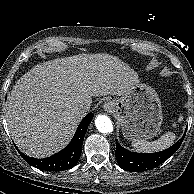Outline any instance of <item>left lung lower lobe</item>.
<instances>
[{
  "label": "left lung lower lobe",
  "mask_w": 194,
  "mask_h": 194,
  "mask_svg": "<svg viewBox=\"0 0 194 194\" xmlns=\"http://www.w3.org/2000/svg\"><path fill=\"white\" fill-rule=\"evenodd\" d=\"M185 134L186 131L183 137L168 149L155 153L131 152L124 149L120 144L116 143L115 156L117 162L122 169L130 172H143L153 169L167 160L179 149Z\"/></svg>",
  "instance_id": "left-lung-lower-lobe-1"
}]
</instances>
